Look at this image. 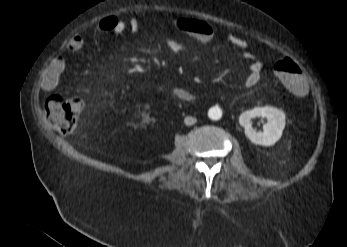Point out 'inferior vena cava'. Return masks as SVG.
<instances>
[{
  "mask_svg": "<svg viewBox=\"0 0 347 247\" xmlns=\"http://www.w3.org/2000/svg\"><path fill=\"white\" fill-rule=\"evenodd\" d=\"M197 122V119L195 117L192 116H187L184 119V123L188 126L193 125Z\"/></svg>",
  "mask_w": 347,
  "mask_h": 247,
  "instance_id": "602c4592",
  "label": "inferior vena cava"
}]
</instances>
